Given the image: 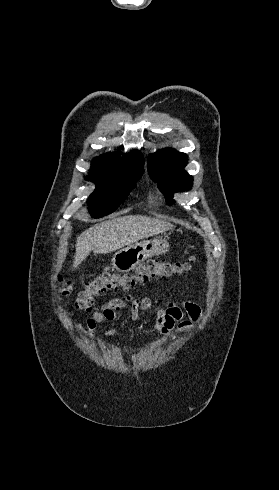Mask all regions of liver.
<instances>
[{
  "instance_id": "6515ba94",
  "label": "liver",
  "mask_w": 279,
  "mask_h": 490,
  "mask_svg": "<svg viewBox=\"0 0 279 490\" xmlns=\"http://www.w3.org/2000/svg\"><path fill=\"white\" fill-rule=\"evenodd\" d=\"M174 228L175 226L165 222V220L146 218V216H121V218H113L109 222L95 224L77 238L72 266L78 268L90 252L111 254V252L120 250L124 246H130L139 240L151 238L156 234H163V232L174 230Z\"/></svg>"
}]
</instances>
